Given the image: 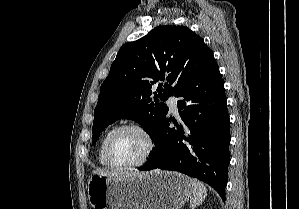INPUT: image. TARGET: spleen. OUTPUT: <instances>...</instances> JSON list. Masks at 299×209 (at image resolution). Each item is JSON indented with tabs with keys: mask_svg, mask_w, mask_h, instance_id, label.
Segmentation results:
<instances>
[{
	"mask_svg": "<svg viewBox=\"0 0 299 209\" xmlns=\"http://www.w3.org/2000/svg\"><path fill=\"white\" fill-rule=\"evenodd\" d=\"M193 186V197L190 199V207L195 209L207 196V189L202 182L197 179L191 180Z\"/></svg>",
	"mask_w": 299,
	"mask_h": 209,
	"instance_id": "spleen-1",
	"label": "spleen"
}]
</instances>
